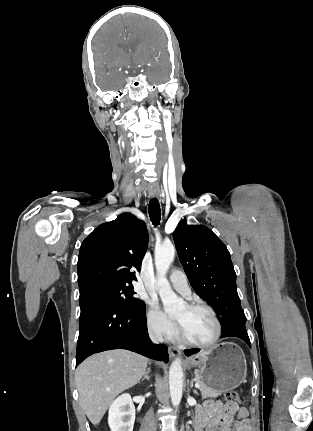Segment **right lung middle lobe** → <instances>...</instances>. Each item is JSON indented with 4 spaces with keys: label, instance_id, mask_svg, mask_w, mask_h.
Masks as SVG:
<instances>
[{
    "label": "right lung middle lobe",
    "instance_id": "1",
    "mask_svg": "<svg viewBox=\"0 0 313 431\" xmlns=\"http://www.w3.org/2000/svg\"><path fill=\"white\" fill-rule=\"evenodd\" d=\"M135 294L136 293L134 292L132 285L124 284L106 287L100 289L94 294L80 298V305L93 299H103L122 304L130 310L145 308V303L142 300L135 298Z\"/></svg>",
    "mask_w": 313,
    "mask_h": 431
}]
</instances>
